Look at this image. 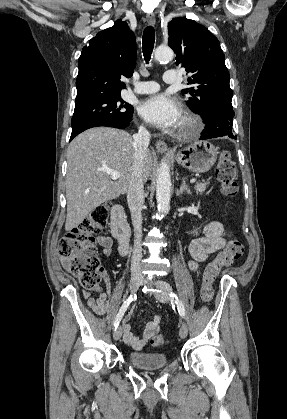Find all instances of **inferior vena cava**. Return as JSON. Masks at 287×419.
Returning a JSON list of instances; mask_svg holds the SVG:
<instances>
[{
	"label": "inferior vena cava",
	"mask_w": 287,
	"mask_h": 419,
	"mask_svg": "<svg viewBox=\"0 0 287 419\" xmlns=\"http://www.w3.org/2000/svg\"><path fill=\"white\" fill-rule=\"evenodd\" d=\"M150 133L140 127L138 133L133 135V145L135 148V159L131 174L130 185L127 191V202L131 212L132 224L134 228V247L131 260V275L142 277L141 268V237H142V207L144 204V178L143 164L145 154L150 142Z\"/></svg>",
	"instance_id": "602c4592"
}]
</instances>
